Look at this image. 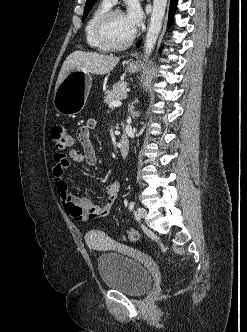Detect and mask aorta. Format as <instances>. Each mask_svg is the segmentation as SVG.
Segmentation results:
<instances>
[{
	"label": "aorta",
	"instance_id": "762f6f07",
	"mask_svg": "<svg viewBox=\"0 0 247 332\" xmlns=\"http://www.w3.org/2000/svg\"><path fill=\"white\" fill-rule=\"evenodd\" d=\"M167 0H153V9L150 25L145 39V57L148 58L154 49L157 38L162 28V22L165 15Z\"/></svg>",
	"mask_w": 247,
	"mask_h": 332
}]
</instances>
